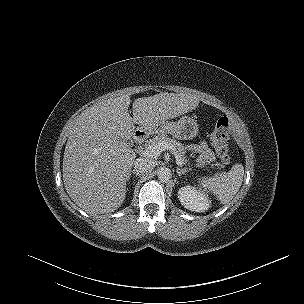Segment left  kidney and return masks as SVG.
<instances>
[{"label":"left kidney","mask_w":304,"mask_h":304,"mask_svg":"<svg viewBox=\"0 0 304 304\" xmlns=\"http://www.w3.org/2000/svg\"><path fill=\"white\" fill-rule=\"evenodd\" d=\"M178 198L181 204L191 211L204 212L211 207V200L208 195L195 187H181L178 191Z\"/></svg>","instance_id":"1"}]
</instances>
